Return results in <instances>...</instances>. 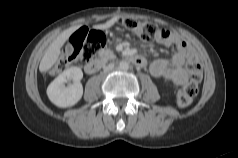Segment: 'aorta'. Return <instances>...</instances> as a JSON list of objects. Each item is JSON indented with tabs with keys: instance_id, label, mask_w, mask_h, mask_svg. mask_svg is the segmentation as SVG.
Instances as JSON below:
<instances>
[{
	"instance_id": "aorta-1",
	"label": "aorta",
	"mask_w": 238,
	"mask_h": 158,
	"mask_svg": "<svg viewBox=\"0 0 238 158\" xmlns=\"http://www.w3.org/2000/svg\"><path fill=\"white\" fill-rule=\"evenodd\" d=\"M118 68H119L120 70L126 71V70H128V68H129V63L126 62V61H121V62L119 63V65H118Z\"/></svg>"
}]
</instances>
